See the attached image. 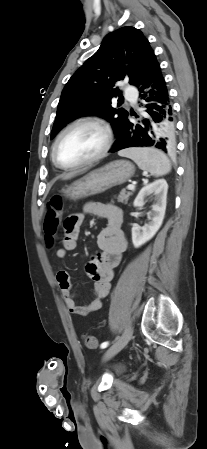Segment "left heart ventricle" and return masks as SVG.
<instances>
[{"label":"left heart ventricle","mask_w":207,"mask_h":449,"mask_svg":"<svg viewBox=\"0 0 207 449\" xmlns=\"http://www.w3.org/2000/svg\"><path fill=\"white\" fill-rule=\"evenodd\" d=\"M103 146V136L94 127L81 125L69 130L57 148L59 161L72 165L95 156Z\"/></svg>","instance_id":"left-heart-ventricle-1"}]
</instances>
